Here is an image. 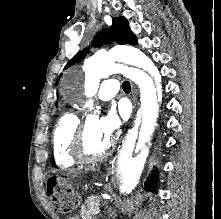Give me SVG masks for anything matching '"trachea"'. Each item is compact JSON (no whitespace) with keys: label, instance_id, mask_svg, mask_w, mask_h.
<instances>
[{"label":"trachea","instance_id":"1","mask_svg":"<svg viewBox=\"0 0 221 219\" xmlns=\"http://www.w3.org/2000/svg\"><path fill=\"white\" fill-rule=\"evenodd\" d=\"M122 88L126 93H129L131 90L130 83L128 81H124L122 83Z\"/></svg>","mask_w":221,"mask_h":219}]
</instances>
